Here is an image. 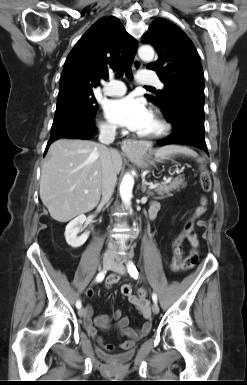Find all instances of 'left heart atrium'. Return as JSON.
Listing matches in <instances>:
<instances>
[{
	"mask_svg": "<svg viewBox=\"0 0 247 385\" xmlns=\"http://www.w3.org/2000/svg\"><path fill=\"white\" fill-rule=\"evenodd\" d=\"M105 112L111 122L136 132H140L152 116L146 103L132 95L108 101Z\"/></svg>",
	"mask_w": 247,
	"mask_h": 385,
	"instance_id": "39dd6f15",
	"label": "left heart atrium"
}]
</instances>
